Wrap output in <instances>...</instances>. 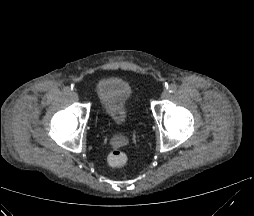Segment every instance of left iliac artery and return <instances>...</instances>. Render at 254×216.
<instances>
[{
  "mask_svg": "<svg viewBox=\"0 0 254 216\" xmlns=\"http://www.w3.org/2000/svg\"><path fill=\"white\" fill-rule=\"evenodd\" d=\"M167 89L170 93H174L177 90V85L176 84H171V85L168 86Z\"/></svg>",
  "mask_w": 254,
  "mask_h": 216,
  "instance_id": "44dca946",
  "label": "left iliac artery"
}]
</instances>
